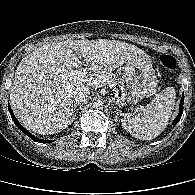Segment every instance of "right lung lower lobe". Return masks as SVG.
Instances as JSON below:
<instances>
[{"mask_svg":"<svg viewBox=\"0 0 195 195\" xmlns=\"http://www.w3.org/2000/svg\"><path fill=\"white\" fill-rule=\"evenodd\" d=\"M8 109H9V112L11 114V117H12V120L14 121V123L16 124V126L24 133L26 134L28 137H30L33 141L35 142H39V143H50L52 142L53 140H42V139H39L35 136H33L30 132H28L19 122L18 120L16 119V117L14 116L13 112H12V109L8 103Z\"/></svg>","mask_w":195,"mask_h":195,"instance_id":"obj_1","label":"right lung lower lobe"}]
</instances>
